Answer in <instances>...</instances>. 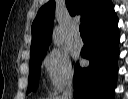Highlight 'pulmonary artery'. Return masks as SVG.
Wrapping results in <instances>:
<instances>
[{"mask_svg": "<svg viewBox=\"0 0 128 99\" xmlns=\"http://www.w3.org/2000/svg\"><path fill=\"white\" fill-rule=\"evenodd\" d=\"M74 44L78 47L83 45V41L79 35V33L76 32L75 36H74V40H73Z\"/></svg>", "mask_w": 128, "mask_h": 99, "instance_id": "e3ab8cb5", "label": "pulmonary artery"}]
</instances>
